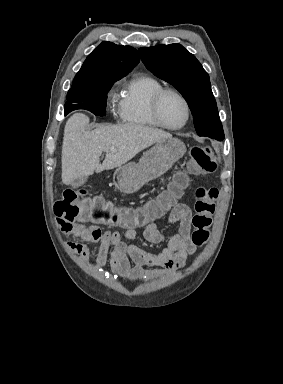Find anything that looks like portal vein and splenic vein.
Instances as JSON below:
<instances>
[{
  "label": "portal vein and splenic vein",
  "mask_w": 283,
  "mask_h": 384,
  "mask_svg": "<svg viewBox=\"0 0 283 384\" xmlns=\"http://www.w3.org/2000/svg\"><path fill=\"white\" fill-rule=\"evenodd\" d=\"M111 152H117V150H114V148H111Z\"/></svg>",
  "instance_id": "portal-vein-and-splenic-vein-1"
}]
</instances>
